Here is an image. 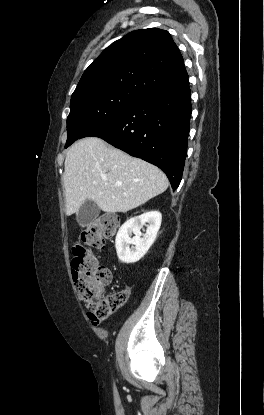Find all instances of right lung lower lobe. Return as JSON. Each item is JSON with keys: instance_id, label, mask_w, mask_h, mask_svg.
<instances>
[{"instance_id": "right-lung-lower-lobe-1", "label": "right lung lower lobe", "mask_w": 264, "mask_h": 415, "mask_svg": "<svg viewBox=\"0 0 264 415\" xmlns=\"http://www.w3.org/2000/svg\"><path fill=\"white\" fill-rule=\"evenodd\" d=\"M191 112L187 78L146 95L88 136L102 138L131 156L158 166L175 190L184 169Z\"/></svg>"}]
</instances>
